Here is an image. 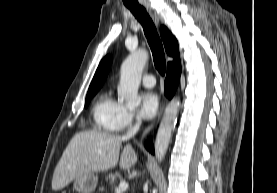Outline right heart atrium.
<instances>
[{
	"mask_svg": "<svg viewBox=\"0 0 277 193\" xmlns=\"http://www.w3.org/2000/svg\"><path fill=\"white\" fill-rule=\"evenodd\" d=\"M139 122V116L132 110L122 108L120 115V129H128Z\"/></svg>",
	"mask_w": 277,
	"mask_h": 193,
	"instance_id": "1",
	"label": "right heart atrium"
}]
</instances>
